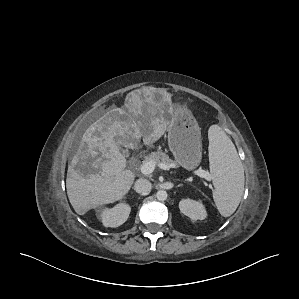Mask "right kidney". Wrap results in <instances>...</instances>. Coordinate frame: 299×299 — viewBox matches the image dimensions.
Segmentation results:
<instances>
[{"instance_id":"right-kidney-1","label":"right kidney","mask_w":299,"mask_h":299,"mask_svg":"<svg viewBox=\"0 0 299 299\" xmlns=\"http://www.w3.org/2000/svg\"><path fill=\"white\" fill-rule=\"evenodd\" d=\"M131 207L126 203H118L113 208H103L100 211V219L105 227H118L129 217Z\"/></svg>"}]
</instances>
